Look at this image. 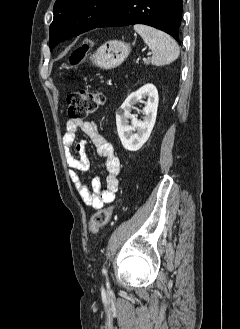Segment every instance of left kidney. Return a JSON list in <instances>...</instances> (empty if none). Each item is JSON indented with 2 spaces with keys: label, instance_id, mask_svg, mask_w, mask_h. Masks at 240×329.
<instances>
[{
  "label": "left kidney",
  "instance_id": "left-kidney-1",
  "mask_svg": "<svg viewBox=\"0 0 240 329\" xmlns=\"http://www.w3.org/2000/svg\"><path fill=\"white\" fill-rule=\"evenodd\" d=\"M142 98H147V102L143 109V120H138L135 115L131 114V108ZM158 101L156 87L153 84H146L131 93L117 111V131L126 150L137 151L148 140L156 121ZM128 119H131V125H129Z\"/></svg>",
  "mask_w": 240,
  "mask_h": 329
}]
</instances>
